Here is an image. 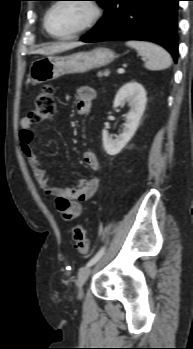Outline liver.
Listing matches in <instances>:
<instances>
[{"label": "liver", "mask_w": 193, "mask_h": 349, "mask_svg": "<svg viewBox=\"0 0 193 349\" xmlns=\"http://www.w3.org/2000/svg\"><path fill=\"white\" fill-rule=\"evenodd\" d=\"M81 42H62V43H56L52 45L44 46L36 51H34L35 54H43V55H53L59 52L67 51L73 48H76L78 46H81Z\"/></svg>", "instance_id": "liver-1"}]
</instances>
